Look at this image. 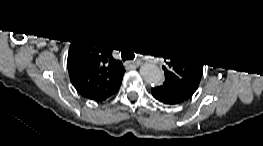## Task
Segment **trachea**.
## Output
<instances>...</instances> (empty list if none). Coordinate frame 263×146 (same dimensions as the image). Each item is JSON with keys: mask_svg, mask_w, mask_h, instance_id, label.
<instances>
[{"mask_svg": "<svg viewBox=\"0 0 263 146\" xmlns=\"http://www.w3.org/2000/svg\"><path fill=\"white\" fill-rule=\"evenodd\" d=\"M122 60L134 59V53L131 50H123L121 53Z\"/></svg>", "mask_w": 263, "mask_h": 146, "instance_id": "1", "label": "trachea"}]
</instances>
